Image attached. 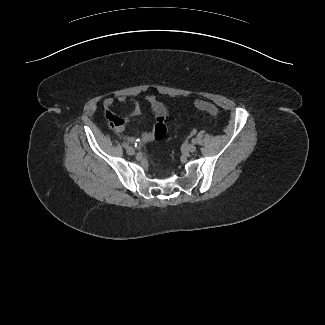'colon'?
<instances>
[{
	"instance_id": "colon-1",
	"label": "colon",
	"mask_w": 325,
	"mask_h": 325,
	"mask_svg": "<svg viewBox=\"0 0 325 325\" xmlns=\"http://www.w3.org/2000/svg\"><path fill=\"white\" fill-rule=\"evenodd\" d=\"M196 108L206 111L209 114L216 116L218 114V109L211 103L203 101V100H196L194 102Z\"/></svg>"
}]
</instances>
